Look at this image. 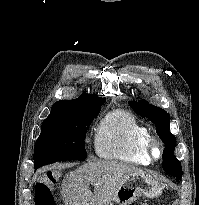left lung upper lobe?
Listing matches in <instances>:
<instances>
[{
	"instance_id": "5c2ea615",
	"label": "left lung upper lobe",
	"mask_w": 199,
	"mask_h": 205,
	"mask_svg": "<svg viewBox=\"0 0 199 205\" xmlns=\"http://www.w3.org/2000/svg\"><path fill=\"white\" fill-rule=\"evenodd\" d=\"M129 105L134 111L142 117H147L155 124L156 132L160 139L165 143L163 150V170L180 180L182 177V166L180 161L174 155L176 138L170 132V116L168 113L156 107L145 100L129 101Z\"/></svg>"
}]
</instances>
